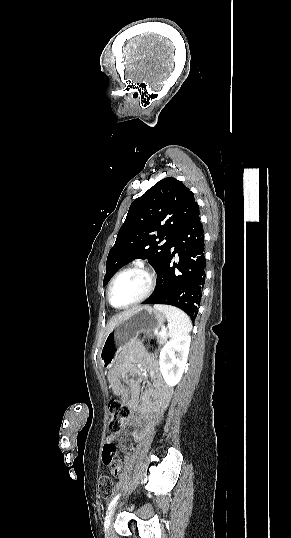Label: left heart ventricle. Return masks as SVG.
I'll list each match as a JSON object with an SVG mask.
<instances>
[{"label": "left heart ventricle", "instance_id": "obj_1", "mask_svg": "<svg viewBox=\"0 0 291 538\" xmlns=\"http://www.w3.org/2000/svg\"><path fill=\"white\" fill-rule=\"evenodd\" d=\"M148 280L140 272L132 271L123 274L115 282L112 290V302L116 306H123L137 299L147 289Z\"/></svg>", "mask_w": 291, "mask_h": 538}]
</instances>
